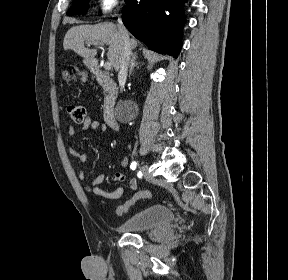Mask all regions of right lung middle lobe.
<instances>
[{"mask_svg":"<svg viewBox=\"0 0 288 280\" xmlns=\"http://www.w3.org/2000/svg\"><path fill=\"white\" fill-rule=\"evenodd\" d=\"M88 0H74L72 7L67 15L85 14L87 12Z\"/></svg>","mask_w":288,"mask_h":280,"instance_id":"dd1d6c3e","label":"right lung middle lobe"}]
</instances>
